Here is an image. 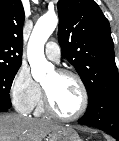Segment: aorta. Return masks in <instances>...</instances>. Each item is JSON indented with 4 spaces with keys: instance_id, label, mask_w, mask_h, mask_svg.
Returning <instances> with one entry per match:
<instances>
[{
    "instance_id": "obj_1",
    "label": "aorta",
    "mask_w": 119,
    "mask_h": 141,
    "mask_svg": "<svg viewBox=\"0 0 119 141\" xmlns=\"http://www.w3.org/2000/svg\"><path fill=\"white\" fill-rule=\"evenodd\" d=\"M58 24L55 14L40 17L34 26L27 48V57L31 66V73L36 81H42L48 72L54 70L44 55V45Z\"/></svg>"
}]
</instances>
